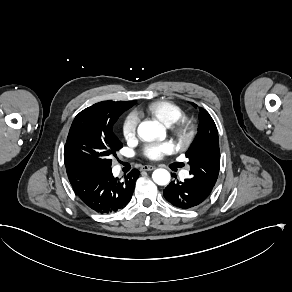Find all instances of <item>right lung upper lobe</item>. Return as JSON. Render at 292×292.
<instances>
[{"label":"right lung upper lobe","mask_w":292,"mask_h":292,"mask_svg":"<svg viewBox=\"0 0 292 292\" xmlns=\"http://www.w3.org/2000/svg\"><path fill=\"white\" fill-rule=\"evenodd\" d=\"M136 101H120V102H113V101H104L97 103L98 106L102 107L103 109L106 110H111V111H126L127 109L131 108Z\"/></svg>","instance_id":"cb5924a9"}]
</instances>
